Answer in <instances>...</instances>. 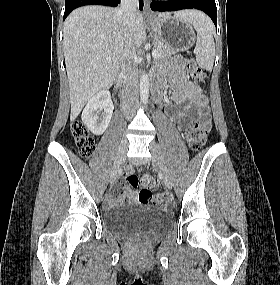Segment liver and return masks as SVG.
Returning <instances> with one entry per match:
<instances>
[{
	"instance_id": "obj_1",
	"label": "liver",
	"mask_w": 280,
	"mask_h": 285,
	"mask_svg": "<svg viewBox=\"0 0 280 285\" xmlns=\"http://www.w3.org/2000/svg\"><path fill=\"white\" fill-rule=\"evenodd\" d=\"M190 15L187 11L178 12ZM169 13H160L165 17ZM131 40L134 47L146 41L144 17L136 11ZM128 35L120 9L85 6L74 10L64 24L63 48L69 81L73 122L86 102L109 89L120 69ZM111 58L110 61L107 59Z\"/></svg>"
}]
</instances>
